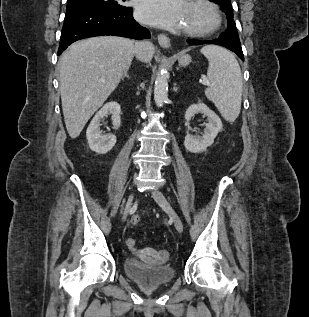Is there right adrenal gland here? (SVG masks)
<instances>
[{
	"label": "right adrenal gland",
	"mask_w": 309,
	"mask_h": 317,
	"mask_svg": "<svg viewBox=\"0 0 309 317\" xmlns=\"http://www.w3.org/2000/svg\"><path fill=\"white\" fill-rule=\"evenodd\" d=\"M128 71H129V68L126 69L121 77L122 80H124V78H128L129 79V75H128Z\"/></svg>",
	"instance_id": "1"
}]
</instances>
